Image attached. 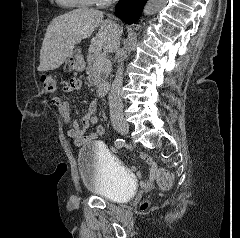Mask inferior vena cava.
<instances>
[{"instance_id": "602c4592", "label": "inferior vena cava", "mask_w": 240, "mask_h": 238, "mask_svg": "<svg viewBox=\"0 0 240 238\" xmlns=\"http://www.w3.org/2000/svg\"><path fill=\"white\" fill-rule=\"evenodd\" d=\"M123 80V67L120 66L117 70L115 79L109 93V107L111 120L123 118V103L120 96V90Z\"/></svg>"}]
</instances>
